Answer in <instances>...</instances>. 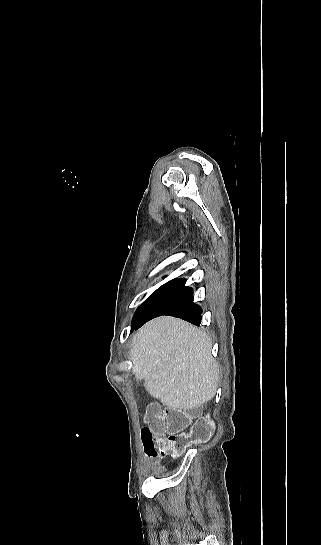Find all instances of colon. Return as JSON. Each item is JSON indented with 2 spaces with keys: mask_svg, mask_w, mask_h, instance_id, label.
Wrapping results in <instances>:
<instances>
[{
  "mask_svg": "<svg viewBox=\"0 0 321 545\" xmlns=\"http://www.w3.org/2000/svg\"><path fill=\"white\" fill-rule=\"evenodd\" d=\"M197 413L195 408L163 409L158 404H150L141 430L145 453L152 457L166 454L177 457L189 446L209 441L214 433V423L207 416L196 417Z\"/></svg>",
  "mask_w": 321,
  "mask_h": 545,
  "instance_id": "obj_1",
  "label": "colon"
}]
</instances>
